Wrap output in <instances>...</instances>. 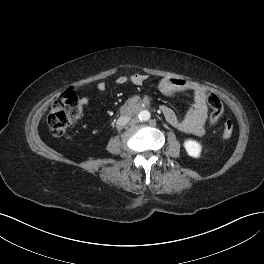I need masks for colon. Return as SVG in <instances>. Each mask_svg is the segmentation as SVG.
<instances>
[{"label":"colon","mask_w":264,"mask_h":264,"mask_svg":"<svg viewBox=\"0 0 264 264\" xmlns=\"http://www.w3.org/2000/svg\"><path fill=\"white\" fill-rule=\"evenodd\" d=\"M207 103L211 109L209 121L216 123L223 114V104L214 93H208ZM81 113V106L78 97L73 90H67L61 94L53 103L48 115V126L54 136H62L69 125L75 121ZM234 124L231 120H226L223 124V138H231Z\"/></svg>","instance_id":"5ec220e1"}]
</instances>
